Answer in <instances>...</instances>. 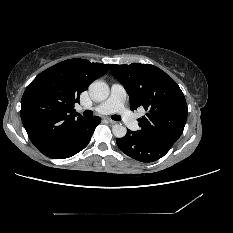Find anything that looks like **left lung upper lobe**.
Returning <instances> with one entry per match:
<instances>
[{
	"label": "left lung upper lobe",
	"mask_w": 233,
	"mask_h": 233,
	"mask_svg": "<svg viewBox=\"0 0 233 233\" xmlns=\"http://www.w3.org/2000/svg\"><path fill=\"white\" fill-rule=\"evenodd\" d=\"M110 71L126 89L131 110L144 107L136 133L148 140L173 145L187 119V104L177 83L151 64L110 65Z\"/></svg>",
	"instance_id": "1"
}]
</instances>
